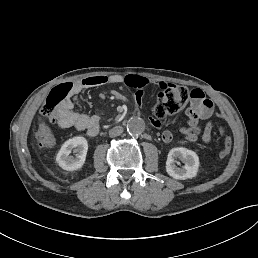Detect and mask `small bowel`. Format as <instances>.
<instances>
[{"mask_svg":"<svg viewBox=\"0 0 258 258\" xmlns=\"http://www.w3.org/2000/svg\"><path fill=\"white\" fill-rule=\"evenodd\" d=\"M152 80L139 76L111 74V75H97L84 78L75 83V94L87 88L102 87L109 84H125L128 87L136 89V102L138 106L142 105L143 90L152 84ZM167 83L160 82L158 86L160 89L164 88ZM213 112V103L205 97L200 89H193L190 92V102L186 108L187 123L185 127L181 128L182 134L188 142L194 143L198 140L201 134V127L199 120L207 119ZM57 124L61 128L73 127L79 131H86L89 135L94 136L99 131V117L97 115H87L78 113L73 110L71 101H68L64 106L58 109ZM152 124L156 127L161 125L159 120L150 118ZM212 124L208 122L201 134V139L204 143L208 144L211 141ZM39 147L43 150L51 149L55 144V138L48 127L41 124L37 133ZM173 135L170 131L166 130L162 134L164 143H170Z\"/></svg>","mask_w":258,"mask_h":258,"instance_id":"1","label":"small bowel"}]
</instances>
